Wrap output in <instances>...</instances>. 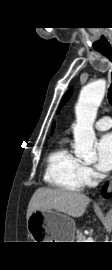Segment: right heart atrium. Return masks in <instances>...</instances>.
Instances as JSON below:
<instances>
[{
  "mask_svg": "<svg viewBox=\"0 0 112 270\" xmlns=\"http://www.w3.org/2000/svg\"><path fill=\"white\" fill-rule=\"evenodd\" d=\"M82 176L86 185H91L97 178L96 172L87 164H82Z\"/></svg>",
  "mask_w": 112,
  "mask_h": 270,
  "instance_id": "obj_1",
  "label": "right heart atrium"
}]
</instances>
